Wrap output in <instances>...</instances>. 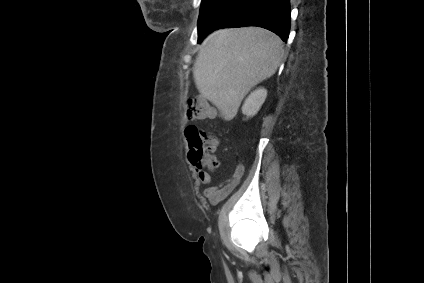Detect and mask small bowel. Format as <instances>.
Segmentation results:
<instances>
[{"label": "small bowel", "instance_id": "1", "mask_svg": "<svg viewBox=\"0 0 424 283\" xmlns=\"http://www.w3.org/2000/svg\"><path fill=\"white\" fill-rule=\"evenodd\" d=\"M218 166L219 161L216 167L207 166L208 169H206L205 165L202 163H192L197 183L199 185L207 186L203 191V196L207 198L212 204L219 203L220 201L224 200L229 194H231V192L240 183L245 170L243 163L241 161H238L232 176L224 183L218 186H213L211 172L214 171Z\"/></svg>", "mask_w": 424, "mask_h": 283}]
</instances>
